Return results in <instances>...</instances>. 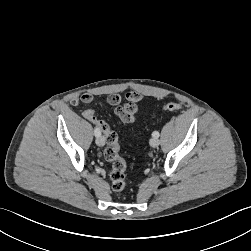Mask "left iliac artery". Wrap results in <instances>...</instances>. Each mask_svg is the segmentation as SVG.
<instances>
[{
    "instance_id": "1",
    "label": "left iliac artery",
    "mask_w": 251,
    "mask_h": 251,
    "mask_svg": "<svg viewBox=\"0 0 251 251\" xmlns=\"http://www.w3.org/2000/svg\"><path fill=\"white\" fill-rule=\"evenodd\" d=\"M152 136L158 138L159 137V132L158 131H154L152 133Z\"/></svg>"
}]
</instances>
